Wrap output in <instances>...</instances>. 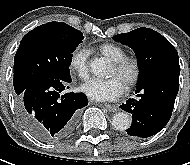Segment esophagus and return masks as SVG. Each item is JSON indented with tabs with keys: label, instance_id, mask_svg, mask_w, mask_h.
<instances>
[{
	"label": "esophagus",
	"instance_id": "1",
	"mask_svg": "<svg viewBox=\"0 0 190 165\" xmlns=\"http://www.w3.org/2000/svg\"><path fill=\"white\" fill-rule=\"evenodd\" d=\"M101 107L106 108L109 112H116L118 109L114 105H109V104H98Z\"/></svg>",
	"mask_w": 190,
	"mask_h": 165
}]
</instances>
